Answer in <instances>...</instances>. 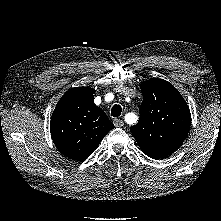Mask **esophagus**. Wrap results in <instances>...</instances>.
Wrapping results in <instances>:
<instances>
[{"instance_id": "34e87169", "label": "esophagus", "mask_w": 221, "mask_h": 221, "mask_svg": "<svg viewBox=\"0 0 221 221\" xmlns=\"http://www.w3.org/2000/svg\"><path fill=\"white\" fill-rule=\"evenodd\" d=\"M114 125L116 126V127H122V126H124V121L122 120V119H114Z\"/></svg>"}]
</instances>
